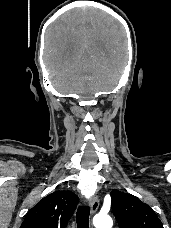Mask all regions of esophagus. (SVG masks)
<instances>
[{
  "mask_svg": "<svg viewBox=\"0 0 171 228\" xmlns=\"http://www.w3.org/2000/svg\"><path fill=\"white\" fill-rule=\"evenodd\" d=\"M90 208H91V213L94 214L98 208H99V199L97 196H94L90 199Z\"/></svg>",
  "mask_w": 171,
  "mask_h": 228,
  "instance_id": "1",
  "label": "esophagus"
}]
</instances>
